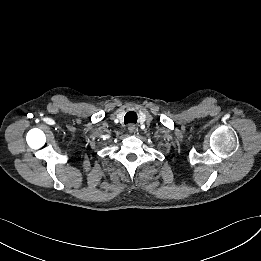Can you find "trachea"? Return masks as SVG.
<instances>
[{
    "instance_id": "1",
    "label": "trachea",
    "mask_w": 261,
    "mask_h": 261,
    "mask_svg": "<svg viewBox=\"0 0 261 261\" xmlns=\"http://www.w3.org/2000/svg\"><path fill=\"white\" fill-rule=\"evenodd\" d=\"M125 123H136L137 122V115L135 112H128L124 119Z\"/></svg>"
}]
</instances>
